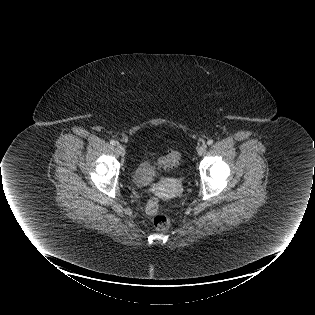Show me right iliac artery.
<instances>
[{
  "label": "right iliac artery",
  "instance_id": "1",
  "mask_svg": "<svg viewBox=\"0 0 315 315\" xmlns=\"http://www.w3.org/2000/svg\"><path fill=\"white\" fill-rule=\"evenodd\" d=\"M110 143H111L112 145H116L117 142H116L115 140H111Z\"/></svg>",
  "mask_w": 315,
  "mask_h": 315
}]
</instances>
